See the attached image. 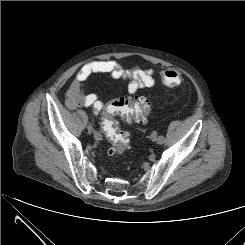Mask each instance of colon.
I'll return each instance as SVG.
<instances>
[{
    "label": "colon",
    "instance_id": "obj_1",
    "mask_svg": "<svg viewBox=\"0 0 245 245\" xmlns=\"http://www.w3.org/2000/svg\"><path fill=\"white\" fill-rule=\"evenodd\" d=\"M163 82L170 87H175L183 82L182 74L175 69H168L162 74ZM150 113V101L145 96L121 97L105 108L102 116V128L110 141L108 154L121 156L130 147V139L126 132L119 127L117 117L128 123H143Z\"/></svg>",
    "mask_w": 245,
    "mask_h": 245
}]
</instances>
